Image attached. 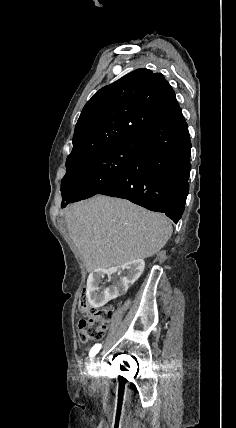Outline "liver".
Returning <instances> with one entry per match:
<instances>
[{"instance_id":"obj_1","label":"liver","mask_w":236,"mask_h":428,"mask_svg":"<svg viewBox=\"0 0 236 428\" xmlns=\"http://www.w3.org/2000/svg\"><path fill=\"white\" fill-rule=\"evenodd\" d=\"M65 220L87 272L150 258L162 250L173 232L163 214L109 196L71 204Z\"/></svg>"}]
</instances>
